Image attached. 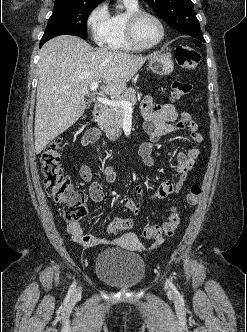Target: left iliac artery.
I'll use <instances>...</instances> for the list:
<instances>
[{
  "mask_svg": "<svg viewBox=\"0 0 247 332\" xmlns=\"http://www.w3.org/2000/svg\"><path fill=\"white\" fill-rule=\"evenodd\" d=\"M167 282L169 283V285L171 286V288L175 289L173 283L169 279H167Z\"/></svg>",
  "mask_w": 247,
  "mask_h": 332,
  "instance_id": "left-iliac-artery-1",
  "label": "left iliac artery"
}]
</instances>
